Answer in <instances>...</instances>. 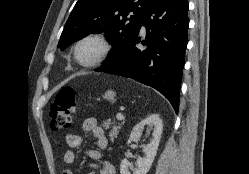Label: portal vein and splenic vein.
<instances>
[{
  "instance_id": "1",
  "label": "portal vein and splenic vein",
  "mask_w": 249,
  "mask_h": 174,
  "mask_svg": "<svg viewBox=\"0 0 249 174\" xmlns=\"http://www.w3.org/2000/svg\"><path fill=\"white\" fill-rule=\"evenodd\" d=\"M116 118H117L118 120H124V116H123L121 113H118V114L116 115Z\"/></svg>"
}]
</instances>
